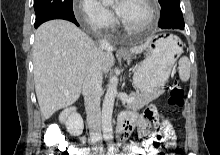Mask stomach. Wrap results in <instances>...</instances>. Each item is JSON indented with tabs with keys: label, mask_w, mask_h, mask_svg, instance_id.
Wrapping results in <instances>:
<instances>
[{
	"label": "stomach",
	"mask_w": 220,
	"mask_h": 155,
	"mask_svg": "<svg viewBox=\"0 0 220 155\" xmlns=\"http://www.w3.org/2000/svg\"><path fill=\"white\" fill-rule=\"evenodd\" d=\"M180 43L175 35L159 36L155 42L147 43L146 58L133 75L135 88L147 95L159 93L170 77L176 58L182 52Z\"/></svg>",
	"instance_id": "1"
}]
</instances>
